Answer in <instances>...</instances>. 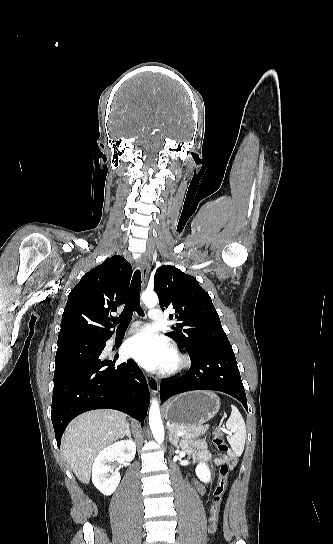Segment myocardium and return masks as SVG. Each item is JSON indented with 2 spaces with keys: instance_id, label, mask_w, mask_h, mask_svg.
Returning <instances> with one entry per match:
<instances>
[{
  "instance_id": "1",
  "label": "myocardium",
  "mask_w": 333,
  "mask_h": 544,
  "mask_svg": "<svg viewBox=\"0 0 333 544\" xmlns=\"http://www.w3.org/2000/svg\"><path fill=\"white\" fill-rule=\"evenodd\" d=\"M189 364L190 361L188 357L182 354L178 349L173 348L171 350V359L165 372L167 374H175L187 368Z\"/></svg>"
}]
</instances>
